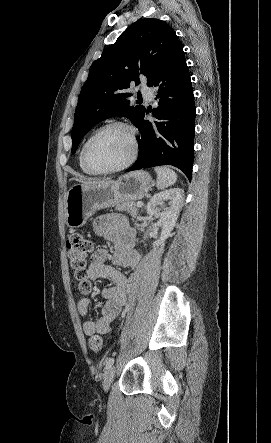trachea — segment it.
Instances as JSON below:
<instances>
[{"label": "trachea", "mask_w": 271, "mask_h": 443, "mask_svg": "<svg viewBox=\"0 0 271 443\" xmlns=\"http://www.w3.org/2000/svg\"><path fill=\"white\" fill-rule=\"evenodd\" d=\"M138 101H141V102H142V99H138Z\"/></svg>", "instance_id": "obj_1"}]
</instances>
